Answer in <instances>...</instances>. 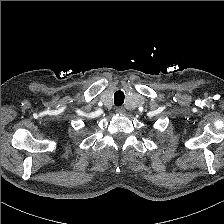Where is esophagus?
Returning a JSON list of instances; mask_svg holds the SVG:
<instances>
[{
	"instance_id": "34e87169",
	"label": "esophagus",
	"mask_w": 224,
	"mask_h": 224,
	"mask_svg": "<svg viewBox=\"0 0 224 224\" xmlns=\"http://www.w3.org/2000/svg\"><path fill=\"white\" fill-rule=\"evenodd\" d=\"M116 113L124 114L125 113V109L122 108V107H118V108H116Z\"/></svg>"
}]
</instances>
